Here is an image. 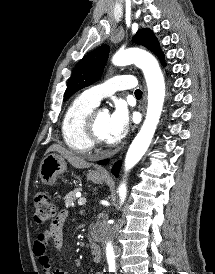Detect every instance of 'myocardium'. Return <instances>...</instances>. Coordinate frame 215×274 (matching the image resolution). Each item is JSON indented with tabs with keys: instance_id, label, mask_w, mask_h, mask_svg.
<instances>
[{
	"instance_id": "obj_1",
	"label": "myocardium",
	"mask_w": 215,
	"mask_h": 274,
	"mask_svg": "<svg viewBox=\"0 0 215 274\" xmlns=\"http://www.w3.org/2000/svg\"><path fill=\"white\" fill-rule=\"evenodd\" d=\"M99 109L94 108L85 118L84 129L88 140L94 145H104L107 140L101 138L96 131V116Z\"/></svg>"
}]
</instances>
